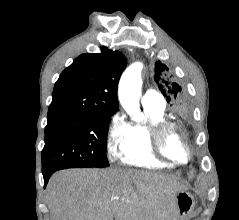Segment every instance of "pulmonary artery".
I'll use <instances>...</instances> for the list:
<instances>
[{
  "label": "pulmonary artery",
  "instance_id": "pulmonary-artery-1",
  "mask_svg": "<svg viewBox=\"0 0 239 220\" xmlns=\"http://www.w3.org/2000/svg\"><path fill=\"white\" fill-rule=\"evenodd\" d=\"M143 106H151L164 109L166 102L164 97L155 89H147L141 99Z\"/></svg>",
  "mask_w": 239,
  "mask_h": 220
}]
</instances>
